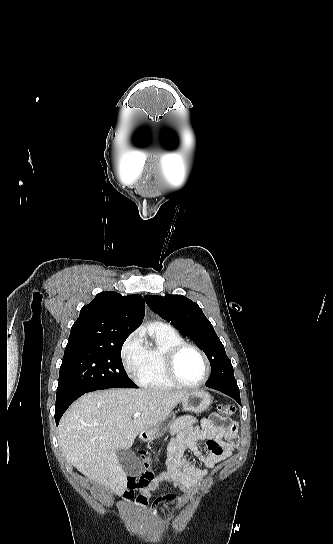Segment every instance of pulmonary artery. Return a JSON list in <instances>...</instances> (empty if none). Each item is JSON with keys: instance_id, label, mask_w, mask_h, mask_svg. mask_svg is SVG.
Wrapping results in <instances>:
<instances>
[{"instance_id": "obj_1", "label": "pulmonary artery", "mask_w": 333, "mask_h": 544, "mask_svg": "<svg viewBox=\"0 0 333 544\" xmlns=\"http://www.w3.org/2000/svg\"><path fill=\"white\" fill-rule=\"evenodd\" d=\"M159 325H164V324H159ZM164 326H167V325H164Z\"/></svg>"}]
</instances>
